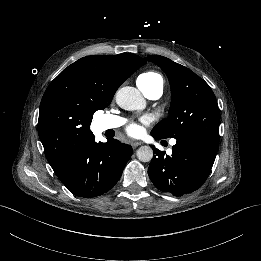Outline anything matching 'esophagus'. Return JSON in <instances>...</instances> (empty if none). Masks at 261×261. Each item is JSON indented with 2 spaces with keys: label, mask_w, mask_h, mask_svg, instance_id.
Here are the masks:
<instances>
[{
  "label": "esophagus",
  "mask_w": 261,
  "mask_h": 261,
  "mask_svg": "<svg viewBox=\"0 0 261 261\" xmlns=\"http://www.w3.org/2000/svg\"><path fill=\"white\" fill-rule=\"evenodd\" d=\"M141 144H142V142L137 141V142H133L131 145H132V147L135 149V148H137L138 146H140Z\"/></svg>",
  "instance_id": "1"
}]
</instances>
